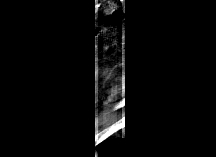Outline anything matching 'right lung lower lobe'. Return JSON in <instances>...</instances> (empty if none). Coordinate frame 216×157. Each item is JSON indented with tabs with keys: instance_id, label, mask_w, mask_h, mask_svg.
<instances>
[{
	"instance_id": "1",
	"label": "right lung lower lobe",
	"mask_w": 216,
	"mask_h": 157,
	"mask_svg": "<svg viewBox=\"0 0 216 157\" xmlns=\"http://www.w3.org/2000/svg\"><path fill=\"white\" fill-rule=\"evenodd\" d=\"M156 129L142 106L127 113L117 135L90 150V157H153L157 154Z\"/></svg>"
}]
</instances>
